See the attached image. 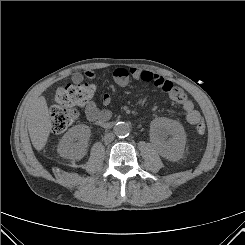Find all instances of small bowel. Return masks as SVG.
Masks as SVG:
<instances>
[{
	"mask_svg": "<svg viewBox=\"0 0 245 245\" xmlns=\"http://www.w3.org/2000/svg\"><path fill=\"white\" fill-rule=\"evenodd\" d=\"M112 75L114 81L120 87H127L132 79L154 84L165 92L173 102L182 107L184 119L187 123L195 125L201 121V115L199 111L196 110L192 100H190L181 88L175 86L169 79L137 67H117L113 70ZM85 77L94 78L95 72L87 70L84 74L75 73L72 76V80L75 83H81ZM102 103L106 106L109 105L111 103V96L109 94H104ZM84 112L89 121L104 126H106L112 116L109 109H100L93 100H89L85 103Z\"/></svg>",
	"mask_w": 245,
	"mask_h": 245,
	"instance_id": "obj_1",
	"label": "small bowel"
}]
</instances>
